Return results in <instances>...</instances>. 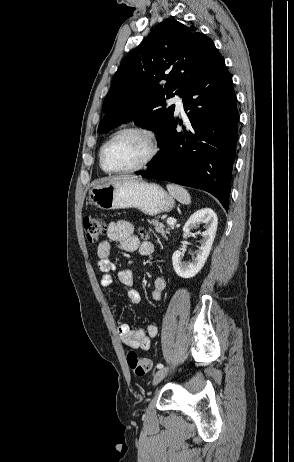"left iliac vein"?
I'll return each mask as SVG.
<instances>
[{"instance_id": "obj_1", "label": "left iliac vein", "mask_w": 294, "mask_h": 462, "mask_svg": "<svg viewBox=\"0 0 294 462\" xmlns=\"http://www.w3.org/2000/svg\"><path fill=\"white\" fill-rule=\"evenodd\" d=\"M169 370L164 368V369H159L155 374L153 378V384H158L167 374Z\"/></svg>"}]
</instances>
